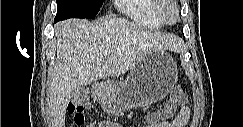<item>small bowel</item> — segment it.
Returning a JSON list of instances; mask_svg holds the SVG:
<instances>
[{
    "mask_svg": "<svg viewBox=\"0 0 243 127\" xmlns=\"http://www.w3.org/2000/svg\"><path fill=\"white\" fill-rule=\"evenodd\" d=\"M190 117V110L186 105H183L177 114V116L172 121L168 120H160L158 115L151 114L149 115L146 120V126L147 127H184L187 125L188 120ZM90 127H95L96 125L91 124ZM97 126H105V127H119L120 125L117 123H101V125Z\"/></svg>",
    "mask_w": 243,
    "mask_h": 127,
    "instance_id": "obj_1",
    "label": "small bowel"
}]
</instances>
